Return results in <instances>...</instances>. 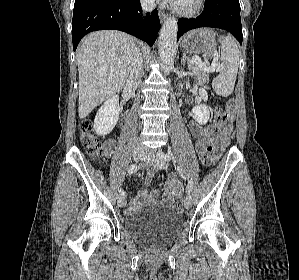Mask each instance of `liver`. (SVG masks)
<instances>
[{
	"label": "liver",
	"mask_w": 299,
	"mask_h": 280,
	"mask_svg": "<svg viewBox=\"0 0 299 280\" xmlns=\"http://www.w3.org/2000/svg\"><path fill=\"white\" fill-rule=\"evenodd\" d=\"M136 48L132 36L114 30L93 32L81 41L77 52L80 119L123 88Z\"/></svg>",
	"instance_id": "6515ba94"
}]
</instances>
